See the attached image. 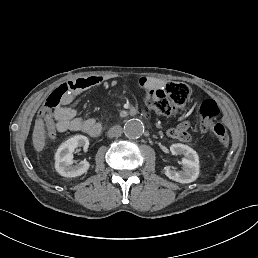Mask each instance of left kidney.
<instances>
[{
	"instance_id": "5707ae66",
	"label": "left kidney",
	"mask_w": 258,
	"mask_h": 258,
	"mask_svg": "<svg viewBox=\"0 0 258 258\" xmlns=\"http://www.w3.org/2000/svg\"><path fill=\"white\" fill-rule=\"evenodd\" d=\"M170 151L175 156H183L182 163L184 165V170L174 171L171 166H164L165 175L180 183H190L196 180L200 172L199 156L196 151L189 146L180 143L172 144Z\"/></svg>"
}]
</instances>
